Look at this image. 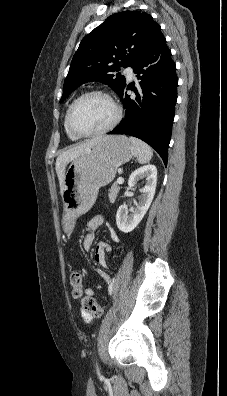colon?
Returning <instances> with one entry per match:
<instances>
[{"instance_id": "5ec220e1", "label": "colon", "mask_w": 227, "mask_h": 396, "mask_svg": "<svg viewBox=\"0 0 227 396\" xmlns=\"http://www.w3.org/2000/svg\"><path fill=\"white\" fill-rule=\"evenodd\" d=\"M70 284L73 297L80 299L81 307L92 316L99 317L103 314V307L92 297L83 295V277L78 271H71Z\"/></svg>"}]
</instances>
